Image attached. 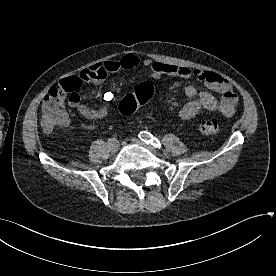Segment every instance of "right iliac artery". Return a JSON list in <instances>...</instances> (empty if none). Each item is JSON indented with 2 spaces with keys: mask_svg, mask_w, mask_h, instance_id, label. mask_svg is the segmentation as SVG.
<instances>
[{
  "mask_svg": "<svg viewBox=\"0 0 276 276\" xmlns=\"http://www.w3.org/2000/svg\"><path fill=\"white\" fill-rule=\"evenodd\" d=\"M118 143H119L118 140L115 138L108 139V145H116Z\"/></svg>",
  "mask_w": 276,
  "mask_h": 276,
  "instance_id": "obj_1",
  "label": "right iliac artery"
}]
</instances>
